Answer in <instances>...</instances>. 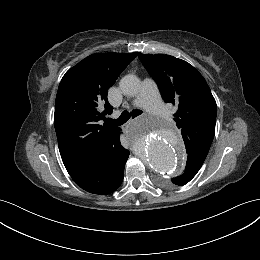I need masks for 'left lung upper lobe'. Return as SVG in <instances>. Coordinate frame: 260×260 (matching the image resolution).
Segmentation results:
<instances>
[{"mask_svg":"<svg viewBox=\"0 0 260 260\" xmlns=\"http://www.w3.org/2000/svg\"><path fill=\"white\" fill-rule=\"evenodd\" d=\"M138 57L157 82L163 99L178 107L174 120L181 130L187 159L203 163L214 138L217 115L216 102L205 79L188 62L170 55L139 52Z\"/></svg>","mask_w":260,"mask_h":260,"instance_id":"left-lung-upper-lobe-1","label":"left lung upper lobe"}]
</instances>
